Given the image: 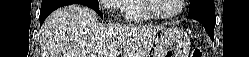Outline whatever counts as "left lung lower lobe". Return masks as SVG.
Here are the masks:
<instances>
[{"mask_svg": "<svg viewBox=\"0 0 249 57\" xmlns=\"http://www.w3.org/2000/svg\"><path fill=\"white\" fill-rule=\"evenodd\" d=\"M188 18L194 19L202 23L206 32L213 40L214 28H215V11L214 10H205L201 12H196L188 14Z\"/></svg>", "mask_w": 249, "mask_h": 57, "instance_id": "left-lung-lower-lobe-1", "label": "left lung lower lobe"}]
</instances>
